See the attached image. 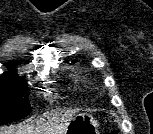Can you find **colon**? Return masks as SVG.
<instances>
[{"mask_svg":"<svg viewBox=\"0 0 153 134\" xmlns=\"http://www.w3.org/2000/svg\"><path fill=\"white\" fill-rule=\"evenodd\" d=\"M106 134H117L116 131H112V132H109V133H106Z\"/></svg>","mask_w":153,"mask_h":134,"instance_id":"colon-1","label":"colon"}]
</instances>
